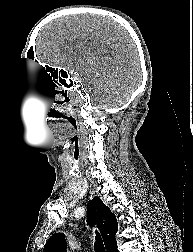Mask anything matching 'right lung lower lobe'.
<instances>
[{
  "mask_svg": "<svg viewBox=\"0 0 193 252\" xmlns=\"http://www.w3.org/2000/svg\"><path fill=\"white\" fill-rule=\"evenodd\" d=\"M112 252H118L117 247Z\"/></svg>",
  "mask_w": 193,
  "mask_h": 252,
  "instance_id": "98d812e1",
  "label": "right lung lower lobe"
}]
</instances>
